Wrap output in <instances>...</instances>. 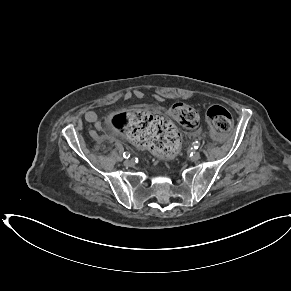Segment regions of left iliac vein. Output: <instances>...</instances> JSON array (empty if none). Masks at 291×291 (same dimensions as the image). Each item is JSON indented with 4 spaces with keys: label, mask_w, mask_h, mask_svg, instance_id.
I'll return each instance as SVG.
<instances>
[{
    "label": "left iliac vein",
    "mask_w": 291,
    "mask_h": 291,
    "mask_svg": "<svg viewBox=\"0 0 291 291\" xmlns=\"http://www.w3.org/2000/svg\"><path fill=\"white\" fill-rule=\"evenodd\" d=\"M200 157H201V155H200L199 152H194V153L191 155L190 159H191L192 161H197V160L200 159Z\"/></svg>",
    "instance_id": "1"
}]
</instances>
